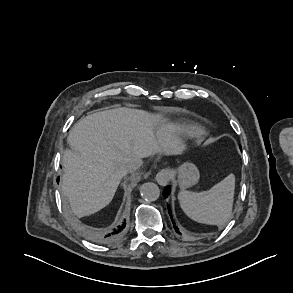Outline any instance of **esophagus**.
Segmentation results:
<instances>
[{
	"instance_id": "34e87169",
	"label": "esophagus",
	"mask_w": 293,
	"mask_h": 293,
	"mask_svg": "<svg viewBox=\"0 0 293 293\" xmlns=\"http://www.w3.org/2000/svg\"><path fill=\"white\" fill-rule=\"evenodd\" d=\"M169 179H170V172L166 168L160 170L156 175V181L160 185H166L169 182Z\"/></svg>"
}]
</instances>
